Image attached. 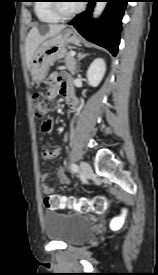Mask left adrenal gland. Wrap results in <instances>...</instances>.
Instances as JSON below:
<instances>
[{
    "instance_id": "a2214340",
    "label": "left adrenal gland",
    "mask_w": 158,
    "mask_h": 275,
    "mask_svg": "<svg viewBox=\"0 0 158 275\" xmlns=\"http://www.w3.org/2000/svg\"><path fill=\"white\" fill-rule=\"evenodd\" d=\"M89 54L88 53H86V54H84L83 52H79L78 53V61H80L81 59H84L86 56H88ZM79 71V67H78V69H77V72Z\"/></svg>"
}]
</instances>
